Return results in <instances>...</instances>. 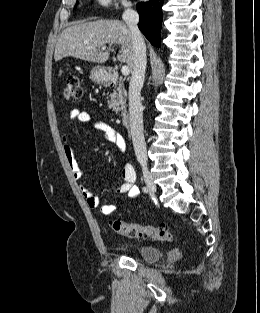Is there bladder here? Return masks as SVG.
Masks as SVG:
<instances>
[{"mask_svg":"<svg viewBox=\"0 0 260 313\" xmlns=\"http://www.w3.org/2000/svg\"><path fill=\"white\" fill-rule=\"evenodd\" d=\"M124 247L136 251L145 261H156L162 257L161 250L156 247L138 244H124Z\"/></svg>","mask_w":260,"mask_h":313,"instance_id":"bladder-1","label":"bladder"}]
</instances>
